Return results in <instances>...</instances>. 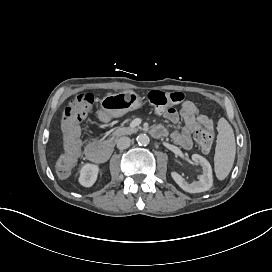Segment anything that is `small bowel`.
I'll use <instances>...</instances> for the list:
<instances>
[{
	"instance_id": "1",
	"label": "small bowel",
	"mask_w": 272,
	"mask_h": 272,
	"mask_svg": "<svg viewBox=\"0 0 272 272\" xmlns=\"http://www.w3.org/2000/svg\"><path fill=\"white\" fill-rule=\"evenodd\" d=\"M157 112L164 115L173 124H178L180 119L183 120L182 129L173 131L171 137L177 145L184 149H190L193 145L192 136L203 129L206 122L212 121L211 118L201 113L196 103L190 100H184L180 104L179 110L158 108ZM155 128H161L166 133L163 126Z\"/></svg>"
}]
</instances>
